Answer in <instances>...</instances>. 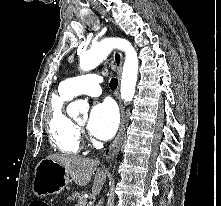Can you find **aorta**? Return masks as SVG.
Listing matches in <instances>:
<instances>
[{
	"label": "aorta",
	"instance_id": "obj_1",
	"mask_svg": "<svg viewBox=\"0 0 221 206\" xmlns=\"http://www.w3.org/2000/svg\"><path fill=\"white\" fill-rule=\"evenodd\" d=\"M125 52V62L121 77V98L125 102L132 101L135 94V87L138 77V57L131 43L122 38H105L94 44L89 50L80 55V69L89 71L97 67L114 49ZM89 105L87 102L77 100L70 104L69 113L87 112Z\"/></svg>",
	"mask_w": 221,
	"mask_h": 206
}]
</instances>
